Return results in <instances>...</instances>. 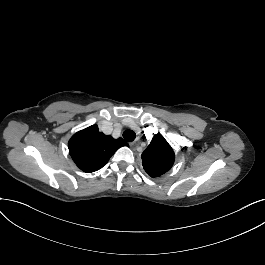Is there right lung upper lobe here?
Returning a JSON list of instances; mask_svg holds the SVG:
<instances>
[{
    "instance_id": "obj_1",
    "label": "right lung upper lobe",
    "mask_w": 265,
    "mask_h": 265,
    "mask_svg": "<svg viewBox=\"0 0 265 265\" xmlns=\"http://www.w3.org/2000/svg\"><path fill=\"white\" fill-rule=\"evenodd\" d=\"M127 145L122 138L114 139L99 132L97 125H92L74 134L68 148L76 165L91 173L102 168L116 150Z\"/></svg>"
}]
</instances>
